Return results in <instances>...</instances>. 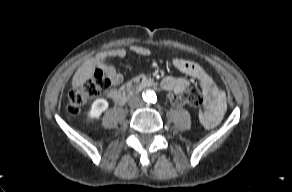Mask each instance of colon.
Wrapping results in <instances>:
<instances>
[{
	"label": "colon",
	"mask_w": 292,
	"mask_h": 192,
	"mask_svg": "<svg viewBox=\"0 0 292 192\" xmlns=\"http://www.w3.org/2000/svg\"><path fill=\"white\" fill-rule=\"evenodd\" d=\"M110 86L111 80L109 77L102 69H98L95 74L82 85L69 91L67 111L71 115H77L90 99L106 91ZM170 100L175 105L190 106H200L204 102L202 93L195 87L187 88L178 95L171 94Z\"/></svg>",
	"instance_id": "1"
}]
</instances>
